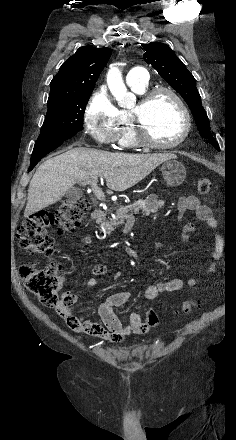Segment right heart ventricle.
<instances>
[{
    "label": "right heart ventricle",
    "mask_w": 236,
    "mask_h": 440,
    "mask_svg": "<svg viewBox=\"0 0 236 440\" xmlns=\"http://www.w3.org/2000/svg\"><path fill=\"white\" fill-rule=\"evenodd\" d=\"M132 91L137 94H143L148 89V83L129 85ZM118 114V132L117 142L124 147H135L138 145L132 129L130 113L126 110H117Z\"/></svg>",
    "instance_id": "1"
}]
</instances>
